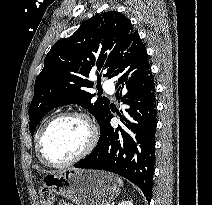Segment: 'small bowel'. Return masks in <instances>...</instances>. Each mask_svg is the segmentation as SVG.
I'll return each mask as SVG.
<instances>
[{"label":"small bowel","instance_id":"small-bowel-1","mask_svg":"<svg viewBox=\"0 0 212 205\" xmlns=\"http://www.w3.org/2000/svg\"><path fill=\"white\" fill-rule=\"evenodd\" d=\"M58 205H72V204L63 202V203H59Z\"/></svg>","mask_w":212,"mask_h":205}]
</instances>
